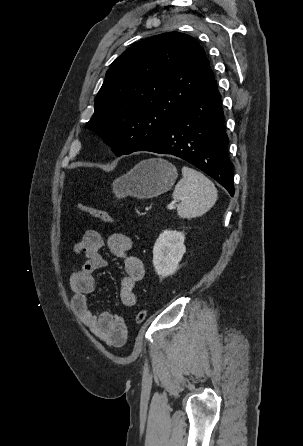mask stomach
Wrapping results in <instances>:
<instances>
[{
  "label": "stomach",
  "mask_w": 303,
  "mask_h": 446,
  "mask_svg": "<svg viewBox=\"0 0 303 446\" xmlns=\"http://www.w3.org/2000/svg\"><path fill=\"white\" fill-rule=\"evenodd\" d=\"M178 177L176 167L163 159L139 162L129 172L114 180L112 189L117 198L133 196L148 199L171 189Z\"/></svg>",
  "instance_id": "obj_1"
}]
</instances>
